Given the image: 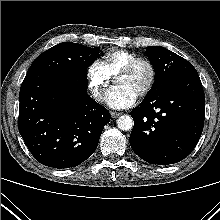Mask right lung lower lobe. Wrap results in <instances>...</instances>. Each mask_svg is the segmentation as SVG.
<instances>
[{
    "label": "right lung lower lobe",
    "mask_w": 220,
    "mask_h": 220,
    "mask_svg": "<svg viewBox=\"0 0 220 220\" xmlns=\"http://www.w3.org/2000/svg\"><path fill=\"white\" fill-rule=\"evenodd\" d=\"M110 118L87 94L86 73H32L22 82L19 132L45 166L61 169L84 162L96 150Z\"/></svg>",
    "instance_id": "obj_1"
}]
</instances>
